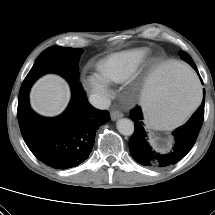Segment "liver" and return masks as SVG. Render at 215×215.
<instances>
[{
  "instance_id": "obj_1",
  "label": "liver",
  "mask_w": 215,
  "mask_h": 215,
  "mask_svg": "<svg viewBox=\"0 0 215 215\" xmlns=\"http://www.w3.org/2000/svg\"><path fill=\"white\" fill-rule=\"evenodd\" d=\"M69 99L70 90L67 83L54 74L39 79L30 92L31 107L40 115L48 117L62 113Z\"/></svg>"
}]
</instances>
